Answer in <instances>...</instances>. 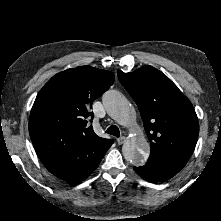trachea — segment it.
I'll list each match as a JSON object with an SVG mask.
<instances>
[{
	"mask_svg": "<svg viewBox=\"0 0 221 221\" xmlns=\"http://www.w3.org/2000/svg\"><path fill=\"white\" fill-rule=\"evenodd\" d=\"M106 133L119 137L120 136V131L119 128L116 125H111L107 130Z\"/></svg>",
	"mask_w": 221,
	"mask_h": 221,
	"instance_id": "trachea-1",
	"label": "trachea"
}]
</instances>
